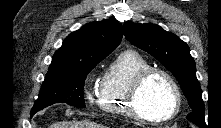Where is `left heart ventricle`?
<instances>
[{
  "instance_id": "obj_1",
  "label": "left heart ventricle",
  "mask_w": 221,
  "mask_h": 128,
  "mask_svg": "<svg viewBox=\"0 0 221 128\" xmlns=\"http://www.w3.org/2000/svg\"><path fill=\"white\" fill-rule=\"evenodd\" d=\"M173 104V96L168 81L162 75L149 78L138 95L140 110L149 117L164 116Z\"/></svg>"
}]
</instances>
